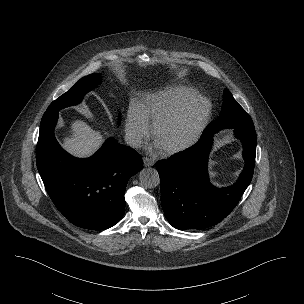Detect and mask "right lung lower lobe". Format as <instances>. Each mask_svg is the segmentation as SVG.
Instances as JSON below:
<instances>
[{
    "label": "right lung lower lobe",
    "instance_id": "1",
    "mask_svg": "<svg viewBox=\"0 0 304 304\" xmlns=\"http://www.w3.org/2000/svg\"><path fill=\"white\" fill-rule=\"evenodd\" d=\"M58 111L45 113L40 124L36 164L57 209L74 225L105 230L120 221L125 188L143 167L132 148L109 138L90 158L64 151L54 136Z\"/></svg>",
    "mask_w": 304,
    "mask_h": 304
}]
</instances>
